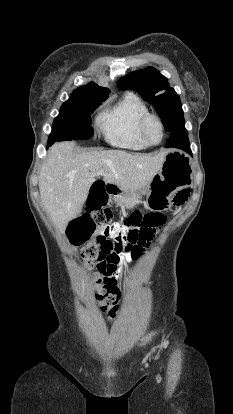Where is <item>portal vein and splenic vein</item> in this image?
I'll list each match as a JSON object with an SVG mask.
<instances>
[{
	"mask_svg": "<svg viewBox=\"0 0 233 414\" xmlns=\"http://www.w3.org/2000/svg\"><path fill=\"white\" fill-rule=\"evenodd\" d=\"M106 163H108V164H109V162H106ZM98 174H102V171H99V172H98Z\"/></svg>",
	"mask_w": 233,
	"mask_h": 414,
	"instance_id": "18ae733b",
	"label": "portal vein and splenic vein"
}]
</instances>
